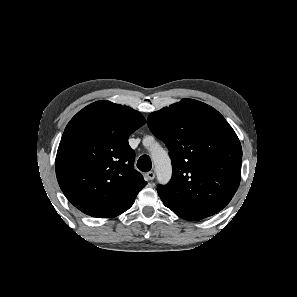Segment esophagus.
Masks as SVG:
<instances>
[{
  "label": "esophagus",
  "instance_id": "esophagus-1",
  "mask_svg": "<svg viewBox=\"0 0 297 297\" xmlns=\"http://www.w3.org/2000/svg\"><path fill=\"white\" fill-rule=\"evenodd\" d=\"M146 176L148 180H153L155 178V174L152 171H149Z\"/></svg>",
  "mask_w": 297,
  "mask_h": 297
}]
</instances>
